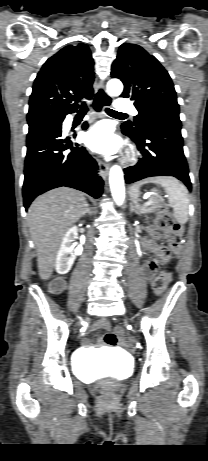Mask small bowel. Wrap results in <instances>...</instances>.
Listing matches in <instances>:
<instances>
[{
	"instance_id": "1",
	"label": "small bowel",
	"mask_w": 208,
	"mask_h": 461,
	"mask_svg": "<svg viewBox=\"0 0 208 461\" xmlns=\"http://www.w3.org/2000/svg\"><path fill=\"white\" fill-rule=\"evenodd\" d=\"M150 234H151V239L147 241V245L152 251H156L157 245L155 243V240L161 238V234L155 232L154 230H151ZM144 271L147 276L151 277L154 274L155 269L152 267H149L148 264L146 263L144 266ZM54 283L60 284L61 285L60 288H62L64 284V280L62 278H58L55 280ZM108 328H109V324L105 320L99 321L95 326V329L97 330L98 329H108ZM120 341H121V338L120 336H118L117 332H110L104 338H97L95 340V343L96 344L106 343L108 351H117Z\"/></svg>"
}]
</instances>
